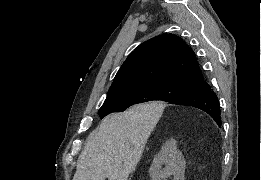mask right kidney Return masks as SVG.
<instances>
[{
	"label": "right kidney",
	"mask_w": 261,
	"mask_h": 180,
	"mask_svg": "<svg viewBox=\"0 0 261 180\" xmlns=\"http://www.w3.org/2000/svg\"><path fill=\"white\" fill-rule=\"evenodd\" d=\"M162 164H165L166 168L162 170ZM185 160L182 152L177 150L176 140H169L165 142L161 148V152L154 158V164L150 168V174L152 178L160 180V178H169L171 174L176 176V180H184L185 172Z\"/></svg>",
	"instance_id": "right-kidney-1"
}]
</instances>
